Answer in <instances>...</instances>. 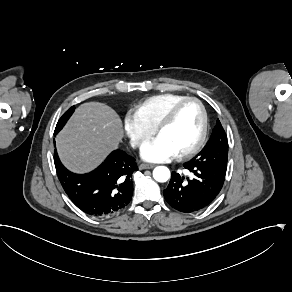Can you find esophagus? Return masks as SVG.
<instances>
[{
    "instance_id": "34e87169",
    "label": "esophagus",
    "mask_w": 292,
    "mask_h": 292,
    "mask_svg": "<svg viewBox=\"0 0 292 292\" xmlns=\"http://www.w3.org/2000/svg\"><path fill=\"white\" fill-rule=\"evenodd\" d=\"M154 167H155L154 164H141V165L139 166V169H140V170H145V169H152V168H154Z\"/></svg>"
}]
</instances>
